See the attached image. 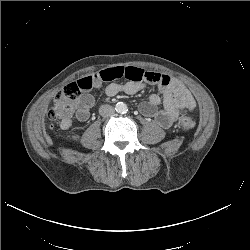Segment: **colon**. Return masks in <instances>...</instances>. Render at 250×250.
Returning <instances> with one entry per match:
<instances>
[{
	"mask_svg": "<svg viewBox=\"0 0 250 250\" xmlns=\"http://www.w3.org/2000/svg\"><path fill=\"white\" fill-rule=\"evenodd\" d=\"M81 89L76 82L70 83L62 88L56 95L54 102L48 111V117L52 120H69L75 110L76 101ZM195 127V120L186 111L180 113L177 128L183 132H189Z\"/></svg>",
	"mask_w": 250,
	"mask_h": 250,
	"instance_id": "5ec220e1",
	"label": "colon"
}]
</instances>
